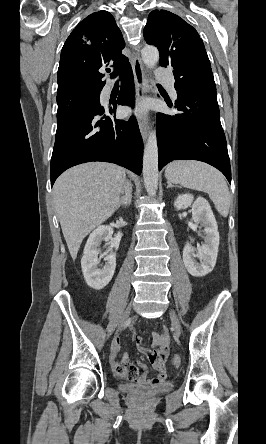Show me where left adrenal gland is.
I'll use <instances>...</instances> for the list:
<instances>
[{
  "label": "left adrenal gland",
  "mask_w": 266,
  "mask_h": 444,
  "mask_svg": "<svg viewBox=\"0 0 266 444\" xmlns=\"http://www.w3.org/2000/svg\"><path fill=\"white\" fill-rule=\"evenodd\" d=\"M176 187L175 185H172L170 181H167V188H173Z\"/></svg>",
  "instance_id": "a2214340"
}]
</instances>
